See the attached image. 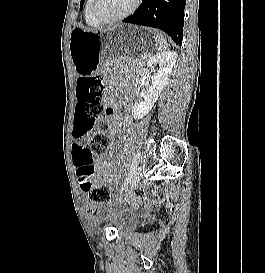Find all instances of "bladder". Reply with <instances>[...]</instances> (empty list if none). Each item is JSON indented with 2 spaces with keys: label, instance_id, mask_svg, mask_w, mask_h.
<instances>
[{
  "label": "bladder",
  "instance_id": "31cf9c89",
  "mask_svg": "<svg viewBox=\"0 0 265 273\" xmlns=\"http://www.w3.org/2000/svg\"><path fill=\"white\" fill-rule=\"evenodd\" d=\"M106 220L119 234L132 230L135 225V219L130 211L112 213Z\"/></svg>",
  "mask_w": 265,
  "mask_h": 273
}]
</instances>
